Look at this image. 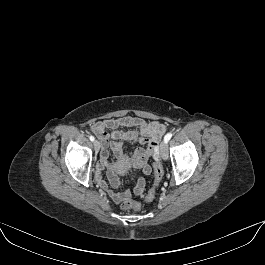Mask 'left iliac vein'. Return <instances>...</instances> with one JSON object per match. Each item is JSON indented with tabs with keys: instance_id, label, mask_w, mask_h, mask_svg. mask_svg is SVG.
<instances>
[{
	"instance_id": "obj_1",
	"label": "left iliac vein",
	"mask_w": 265,
	"mask_h": 265,
	"mask_svg": "<svg viewBox=\"0 0 265 265\" xmlns=\"http://www.w3.org/2000/svg\"><path fill=\"white\" fill-rule=\"evenodd\" d=\"M160 155L162 157L163 160H166L168 158V147H167V143L162 142L160 144Z\"/></svg>"
}]
</instances>
